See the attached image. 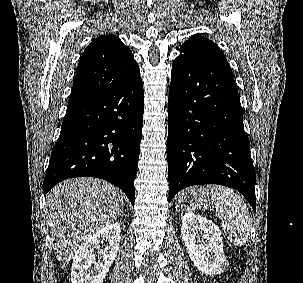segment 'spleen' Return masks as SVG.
Instances as JSON below:
<instances>
[{
  "mask_svg": "<svg viewBox=\"0 0 303 283\" xmlns=\"http://www.w3.org/2000/svg\"><path fill=\"white\" fill-rule=\"evenodd\" d=\"M211 204L216 210V216L222 222V228L227 239L235 246H242L250 235L249 209L243 198L233 190L210 185Z\"/></svg>",
  "mask_w": 303,
  "mask_h": 283,
  "instance_id": "1",
  "label": "spleen"
}]
</instances>
